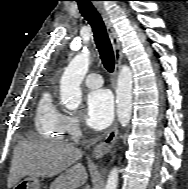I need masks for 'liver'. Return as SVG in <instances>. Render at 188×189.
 Returning a JSON list of instances; mask_svg holds the SVG:
<instances>
[{
    "instance_id": "6515ba94",
    "label": "liver",
    "mask_w": 188,
    "mask_h": 189,
    "mask_svg": "<svg viewBox=\"0 0 188 189\" xmlns=\"http://www.w3.org/2000/svg\"><path fill=\"white\" fill-rule=\"evenodd\" d=\"M82 151L71 144L37 141L20 142L13 151L8 188L23 177H59L62 189H76L86 183L88 174L81 163Z\"/></svg>"
}]
</instances>
